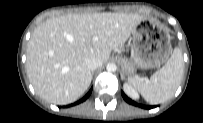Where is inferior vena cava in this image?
<instances>
[{
	"instance_id": "1",
	"label": "inferior vena cava",
	"mask_w": 203,
	"mask_h": 123,
	"mask_svg": "<svg viewBox=\"0 0 203 123\" xmlns=\"http://www.w3.org/2000/svg\"><path fill=\"white\" fill-rule=\"evenodd\" d=\"M102 65V62L96 58H90L86 60V66L89 70L94 71Z\"/></svg>"
}]
</instances>
